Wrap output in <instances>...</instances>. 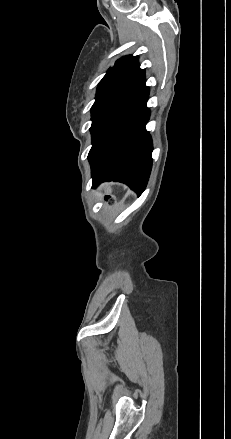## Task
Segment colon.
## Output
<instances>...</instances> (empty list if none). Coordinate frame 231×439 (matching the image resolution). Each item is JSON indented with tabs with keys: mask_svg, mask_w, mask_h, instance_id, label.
Masks as SVG:
<instances>
[{
	"mask_svg": "<svg viewBox=\"0 0 231 439\" xmlns=\"http://www.w3.org/2000/svg\"><path fill=\"white\" fill-rule=\"evenodd\" d=\"M107 202L111 203V202H112V199H111V198H108V199H107Z\"/></svg>",
	"mask_w": 231,
	"mask_h": 439,
	"instance_id": "5ec220e1",
	"label": "colon"
}]
</instances>
